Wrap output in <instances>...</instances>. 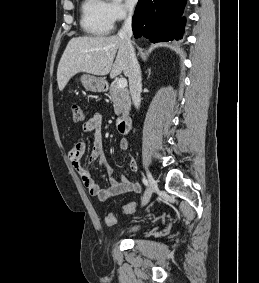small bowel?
I'll list each match as a JSON object with an SVG mask.
<instances>
[{
	"label": "small bowel",
	"instance_id": "obj_1",
	"mask_svg": "<svg viewBox=\"0 0 259 283\" xmlns=\"http://www.w3.org/2000/svg\"><path fill=\"white\" fill-rule=\"evenodd\" d=\"M82 131L84 133H92L93 135L92 148L86 164L81 162L82 156L86 150L84 139H80L74 143L68 152V158L78 172L81 181L88 189L90 195L96 197L99 201H107L115 196L128 192L140 193L142 187L138 182L131 181L124 175L116 174L107 164L103 151L102 120L100 114L96 113L86 119L82 125ZM119 148L122 151H126L128 148V141L126 139H121L119 141ZM96 161H99L102 166L109 183V186L105 189H101L94 181L89 169L90 164ZM127 164L131 171L135 172L137 170V164L133 156H127Z\"/></svg>",
	"mask_w": 259,
	"mask_h": 283
}]
</instances>
